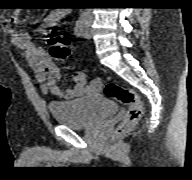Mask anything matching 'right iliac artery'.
Wrapping results in <instances>:
<instances>
[{
	"instance_id": "obj_1",
	"label": "right iliac artery",
	"mask_w": 192,
	"mask_h": 180,
	"mask_svg": "<svg viewBox=\"0 0 192 180\" xmlns=\"http://www.w3.org/2000/svg\"><path fill=\"white\" fill-rule=\"evenodd\" d=\"M85 24H86V15L82 14L77 20L74 29V33L77 37H81L83 35Z\"/></svg>"
}]
</instances>
